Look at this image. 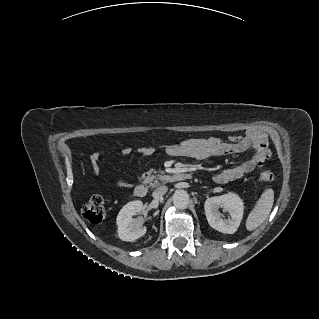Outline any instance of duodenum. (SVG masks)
<instances>
[{
	"label": "duodenum",
	"instance_id": "obj_1",
	"mask_svg": "<svg viewBox=\"0 0 319 319\" xmlns=\"http://www.w3.org/2000/svg\"><path fill=\"white\" fill-rule=\"evenodd\" d=\"M191 173L188 172H175L169 176L172 182L183 181L191 178ZM148 194V188L144 183H139L134 188V195L138 198H144Z\"/></svg>",
	"mask_w": 319,
	"mask_h": 319
}]
</instances>
